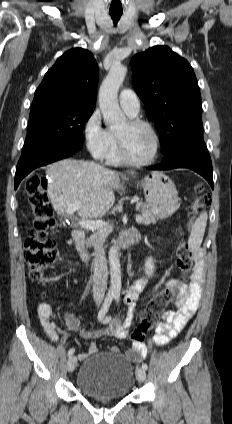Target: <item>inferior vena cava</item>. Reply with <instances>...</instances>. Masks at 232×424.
Here are the masks:
<instances>
[{"instance_id": "obj_1", "label": "inferior vena cava", "mask_w": 232, "mask_h": 424, "mask_svg": "<svg viewBox=\"0 0 232 424\" xmlns=\"http://www.w3.org/2000/svg\"><path fill=\"white\" fill-rule=\"evenodd\" d=\"M95 244L93 265V298L96 303H101L107 289L108 269L105 251L100 238H93Z\"/></svg>"}]
</instances>
